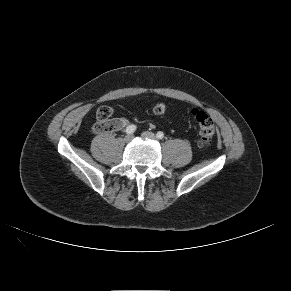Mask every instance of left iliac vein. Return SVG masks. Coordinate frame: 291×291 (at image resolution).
I'll return each instance as SVG.
<instances>
[{"label":"left iliac vein","instance_id":"4c4485c4","mask_svg":"<svg viewBox=\"0 0 291 291\" xmlns=\"http://www.w3.org/2000/svg\"><path fill=\"white\" fill-rule=\"evenodd\" d=\"M142 137L149 138V139H152V140L156 139V136L154 135V133L148 132V131L143 132L142 133Z\"/></svg>","mask_w":291,"mask_h":291}]
</instances>
